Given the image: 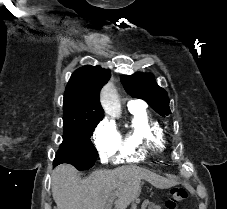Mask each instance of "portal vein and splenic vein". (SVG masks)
Returning <instances> with one entry per match:
<instances>
[{
    "mask_svg": "<svg viewBox=\"0 0 227 209\" xmlns=\"http://www.w3.org/2000/svg\"><path fill=\"white\" fill-rule=\"evenodd\" d=\"M149 201L146 199L143 203H142V207H141V209H145L146 207V204L148 203Z\"/></svg>",
    "mask_w": 227,
    "mask_h": 209,
    "instance_id": "portal-vein-and-splenic-vein-1",
    "label": "portal vein and splenic vein"
}]
</instances>
